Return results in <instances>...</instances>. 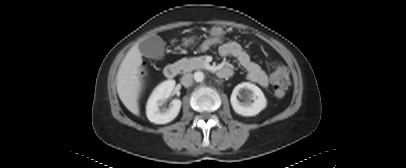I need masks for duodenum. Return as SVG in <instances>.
Listing matches in <instances>:
<instances>
[{
    "mask_svg": "<svg viewBox=\"0 0 406 168\" xmlns=\"http://www.w3.org/2000/svg\"><path fill=\"white\" fill-rule=\"evenodd\" d=\"M179 73V66L177 64H170L164 69V76L168 79H172ZM215 74L218 78L225 79L232 75V70L228 68L217 69Z\"/></svg>",
    "mask_w": 406,
    "mask_h": 168,
    "instance_id": "obj_1",
    "label": "duodenum"
}]
</instances>
